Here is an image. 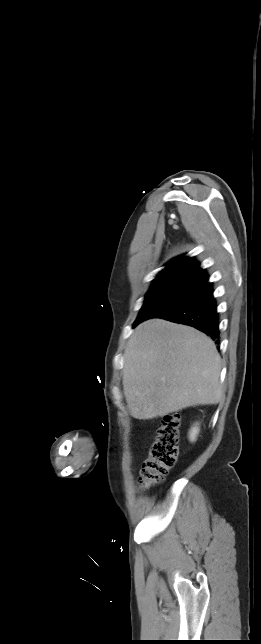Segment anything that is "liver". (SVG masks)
Here are the masks:
<instances>
[{"label":"liver","mask_w":261,"mask_h":644,"mask_svg":"<svg viewBox=\"0 0 261 644\" xmlns=\"http://www.w3.org/2000/svg\"><path fill=\"white\" fill-rule=\"evenodd\" d=\"M220 356L200 331L163 319L138 325L124 352L123 388L132 417H164L223 396Z\"/></svg>","instance_id":"1"}]
</instances>
